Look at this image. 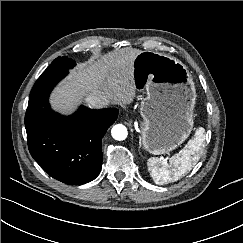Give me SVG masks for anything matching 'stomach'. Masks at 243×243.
Wrapping results in <instances>:
<instances>
[{
	"instance_id": "obj_1",
	"label": "stomach",
	"mask_w": 243,
	"mask_h": 243,
	"mask_svg": "<svg viewBox=\"0 0 243 243\" xmlns=\"http://www.w3.org/2000/svg\"><path fill=\"white\" fill-rule=\"evenodd\" d=\"M138 90L147 96L141 102V144L153 155H163L181 145L190 135L196 90L187 67L174 57L142 51L133 62Z\"/></svg>"
}]
</instances>
